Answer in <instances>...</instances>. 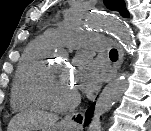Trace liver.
<instances>
[{
    "instance_id": "liver-1",
    "label": "liver",
    "mask_w": 151,
    "mask_h": 131,
    "mask_svg": "<svg viewBox=\"0 0 151 131\" xmlns=\"http://www.w3.org/2000/svg\"><path fill=\"white\" fill-rule=\"evenodd\" d=\"M58 117L44 111L22 112L14 116L8 124V131L47 130L55 125Z\"/></svg>"
}]
</instances>
